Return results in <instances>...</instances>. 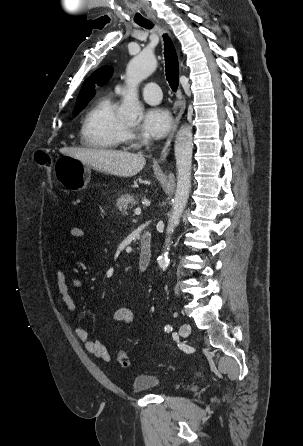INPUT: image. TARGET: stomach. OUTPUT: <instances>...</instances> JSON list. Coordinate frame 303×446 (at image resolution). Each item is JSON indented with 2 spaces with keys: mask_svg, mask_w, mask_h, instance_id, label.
Here are the masks:
<instances>
[{
  "mask_svg": "<svg viewBox=\"0 0 303 446\" xmlns=\"http://www.w3.org/2000/svg\"><path fill=\"white\" fill-rule=\"evenodd\" d=\"M57 181L66 189L81 191L86 188L91 174V166L64 155L59 157L54 165Z\"/></svg>",
  "mask_w": 303,
  "mask_h": 446,
  "instance_id": "obj_1",
  "label": "stomach"
}]
</instances>
